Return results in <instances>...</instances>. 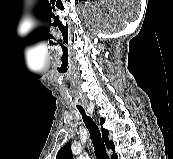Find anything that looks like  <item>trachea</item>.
<instances>
[{
  "label": "trachea",
  "mask_w": 173,
  "mask_h": 159,
  "mask_svg": "<svg viewBox=\"0 0 173 159\" xmlns=\"http://www.w3.org/2000/svg\"><path fill=\"white\" fill-rule=\"evenodd\" d=\"M78 110L81 113L83 121L89 130L97 159H109V156L106 152L105 144L101 138V134L96 123L89 116L86 115L83 108H79Z\"/></svg>",
  "instance_id": "trachea-1"
}]
</instances>
